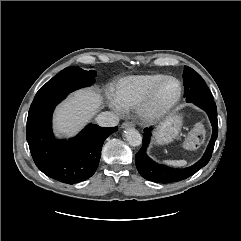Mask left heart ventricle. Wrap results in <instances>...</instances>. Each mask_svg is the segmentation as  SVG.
<instances>
[{"instance_id":"obj_1","label":"left heart ventricle","mask_w":241,"mask_h":241,"mask_svg":"<svg viewBox=\"0 0 241 241\" xmlns=\"http://www.w3.org/2000/svg\"><path fill=\"white\" fill-rule=\"evenodd\" d=\"M177 89V84L174 81L165 82L158 92L156 104L162 105L172 100L177 94Z\"/></svg>"}]
</instances>
